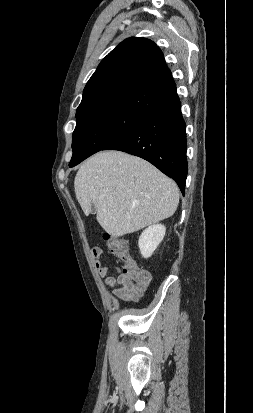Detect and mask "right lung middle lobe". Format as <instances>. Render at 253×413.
Wrapping results in <instances>:
<instances>
[{
	"label": "right lung middle lobe",
	"instance_id": "obj_1",
	"mask_svg": "<svg viewBox=\"0 0 253 413\" xmlns=\"http://www.w3.org/2000/svg\"><path fill=\"white\" fill-rule=\"evenodd\" d=\"M147 115L130 111H109L78 120L73 132V155L69 167L104 150L138 127Z\"/></svg>",
	"mask_w": 253,
	"mask_h": 413
}]
</instances>
